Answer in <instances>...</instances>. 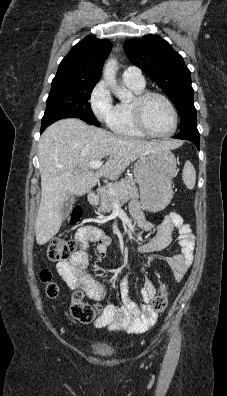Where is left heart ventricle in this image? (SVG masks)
I'll use <instances>...</instances> for the list:
<instances>
[{
    "mask_svg": "<svg viewBox=\"0 0 227 396\" xmlns=\"http://www.w3.org/2000/svg\"><path fill=\"white\" fill-rule=\"evenodd\" d=\"M148 128L156 133H168L173 128V116L166 103L157 97L150 98L144 108Z\"/></svg>",
    "mask_w": 227,
    "mask_h": 396,
    "instance_id": "b2bd125f",
    "label": "left heart ventricle"
}]
</instances>
